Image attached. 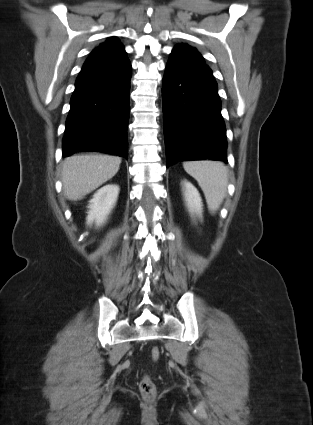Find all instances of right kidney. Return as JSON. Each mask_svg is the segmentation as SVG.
Masks as SVG:
<instances>
[{
  "label": "right kidney",
  "mask_w": 313,
  "mask_h": 425,
  "mask_svg": "<svg viewBox=\"0 0 313 425\" xmlns=\"http://www.w3.org/2000/svg\"><path fill=\"white\" fill-rule=\"evenodd\" d=\"M119 190L118 185L108 184L93 195V198L89 201L87 225L95 223L96 226H101L105 223L116 204Z\"/></svg>",
  "instance_id": "ca27d5eb"
}]
</instances>
